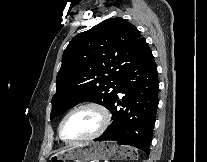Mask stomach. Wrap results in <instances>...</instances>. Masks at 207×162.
<instances>
[{
	"label": "stomach",
	"instance_id": "stomach-1",
	"mask_svg": "<svg viewBox=\"0 0 207 162\" xmlns=\"http://www.w3.org/2000/svg\"><path fill=\"white\" fill-rule=\"evenodd\" d=\"M135 159V152L129 146L113 142H89L80 144L50 158L52 162L74 160L75 162H99L101 160ZM60 160V161H58Z\"/></svg>",
	"mask_w": 207,
	"mask_h": 162
}]
</instances>
